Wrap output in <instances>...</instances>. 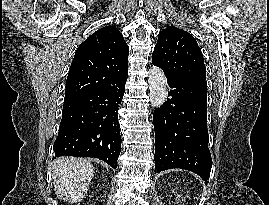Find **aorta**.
Masks as SVG:
<instances>
[{
	"instance_id": "aorta-1",
	"label": "aorta",
	"mask_w": 269,
	"mask_h": 205,
	"mask_svg": "<svg viewBox=\"0 0 269 205\" xmlns=\"http://www.w3.org/2000/svg\"><path fill=\"white\" fill-rule=\"evenodd\" d=\"M150 103L153 108H159L167 100V80L163 71L156 66L149 70Z\"/></svg>"
}]
</instances>
